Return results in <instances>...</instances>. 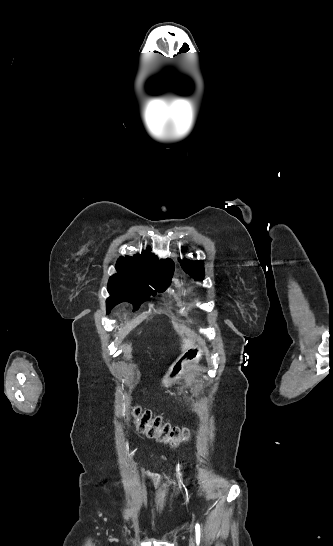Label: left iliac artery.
Returning <instances> with one entry per match:
<instances>
[{"label":"left iliac artery","mask_w":333,"mask_h":546,"mask_svg":"<svg viewBox=\"0 0 333 546\" xmlns=\"http://www.w3.org/2000/svg\"><path fill=\"white\" fill-rule=\"evenodd\" d=\"M195 531H196V543L197 545H199L201 532H200V525L198 523H196L195 525Z\"/></svg>","instance_id":"left-iliac-artery-1"}]
</instances>
